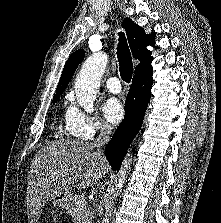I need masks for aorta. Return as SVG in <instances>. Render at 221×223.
Returning a JSON list of instances; mask_svg holds the SVG:
<instances>
[{
	"label": "aorta",
	"instance_id": "1",
	"mask_svg": "<svg viewBox=\"0 0 221 223\" xmlns=\"http://www.w3.org/2000/svg\"><path fill=\"white\" fill-rule=\"evenodd\" d=\"M107 63L108 57L106 54L95 53L88 57L83 63L81 70L76 77V99L79 105L83 107L86 112L93 111L94 102L100 87L101 77L105 71ZM131 162V155L128 154V157L122 163V167L118 175L115 196L118 195V192L121 191V188L123 187Z\"/></svg>",
	"mask_w": 221,
	"mask_h": 223
}]
</instances>
